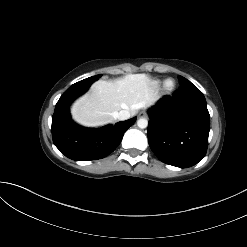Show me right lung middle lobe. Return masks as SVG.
Returning a JSON list of instances; mask_svg holds the SVG:
<instances>
[{
    "instance_id": "obj_1",
    "label": "right lung middle lobe",
    "mask_w": 247,
    "mask_h": 247,
    "mask_svg": "<svg viewBox=\"0 0 247 247\" xmlns=\"http://www.w3.org/2000/svg\"><path fill=\"white\" fill-rule=\"evenodd\" d=\"M102 75H96V76H92V77H89V78H86L80 82L84 83V84H88V83H93L94 81H96L97 79H99Z\"/></svg>"
}]
</instances>
